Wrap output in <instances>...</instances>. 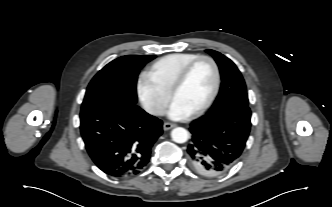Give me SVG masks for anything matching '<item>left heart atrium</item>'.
Masks as SVG:
<instances>
[{
  "instance_id": "left-heart-atrium-1",
  "label": "left heart atrium",
  "mask_w": 332,
  "mask_h": 207,
  "mask_svg": "<svg viewBox=\"0 0 332 207\" xmlns=\"http://www.w3.org/2000/svg\"><path fill=\"white\" fill-rule=\"evenodd\" d=\"M191 115V112L173 99L168 109V116L174 120H182Z\"/></svg>"
}]
</instances>
